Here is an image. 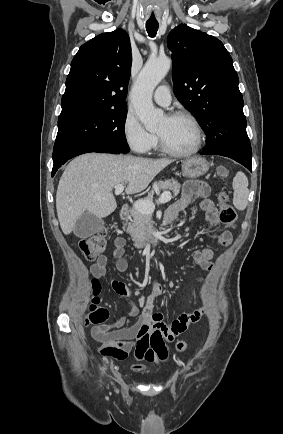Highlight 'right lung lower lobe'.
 Segmentation results:
<instances>
[{
  "instance_id": "right-lung-lower-lobe-1",
  "label": "right lung lower lobe",
  "mask_w": 283,
  "mask_h": 434,
  "mask_svg": "<svg viewBox=\"0 0 283 434\" xmlns=\"http://www.w3.org/2000/svg\"><path fill=\"white\" fill-rule=\"evenodd\" d=\"M88 152H99V153H113V154H119L122 153L116 149L110 148V147H105V146H91V147H85V148H81L78 149L74 152H72L71 154H69L68 156H66L65 158L61 159L58 162L54 163L53 169H52V176L55 175L56 171L69 159L84 154V153H88Z\"/></svg>"
}]
</instances>
